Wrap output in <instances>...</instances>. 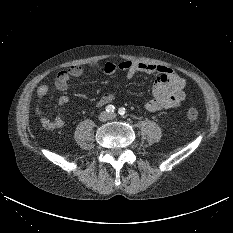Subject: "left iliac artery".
<instances>
[{
    "mask_svg": "<svg viewBox=\"0 0 233 233\" xmlns=\"http://www.w3.org/2000/svg\"><path fill=\"white\" fill-rule=\"evenodd\" d=\"M118 113H119L121 116H123V115L126 113V109L123 108V107H121V108H119Z\"/></svg>",
    "mask_w": 233,
    "mask_h": 233,
    "instance_id": "44dca946",
    "label": "left iliac artery"
}]
</instances>
